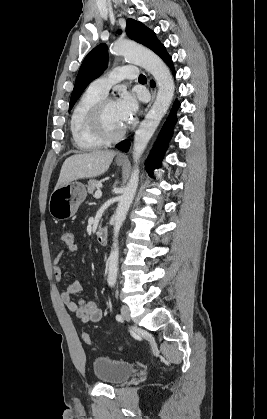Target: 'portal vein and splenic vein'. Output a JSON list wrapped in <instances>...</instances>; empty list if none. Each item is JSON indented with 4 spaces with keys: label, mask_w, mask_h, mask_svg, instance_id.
Wrapping results in <instances>:
<instances>
[{
    "label": "portal vein and splenic vein",
    "mask_w": 267,
    "mask_h": 419,
    "mask_svg": "<svg viewBox=\"0 0 267 419\" xmlns=\"http://www.w3.org/2000/svg\"><path fill=\"white\" fill-rule=\"evenodd\" d=\"M102 196V191L101 190H97L94 194L95 198H100Z\"/></svg>",
    "instance_id": "obj_1"
}]
</instances>
